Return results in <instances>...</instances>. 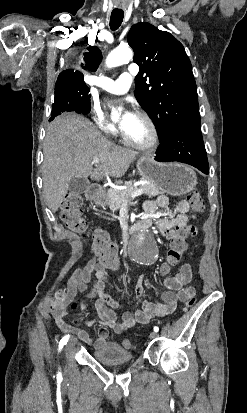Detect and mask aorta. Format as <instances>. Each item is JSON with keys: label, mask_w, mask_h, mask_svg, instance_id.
<instances>
[{"label": "aorta", "mask_w": 247, "mask_h": 413, "mask_svg": "<svg viewBox=\"0 0 247 413\" xmlns=\"http://www.w3.org/2000/svg\"><path fill=\"white\" fill-rule=\"evenodd\" d=\"M132 57L133 52L129 47H118L108 55L106 59V66L108 68H112L129 63ZM112 115L117 116L118 113L112 109Z\"/></svg>", "instance_id": "1"}]
</instances>
